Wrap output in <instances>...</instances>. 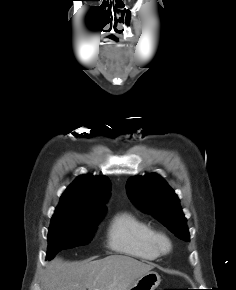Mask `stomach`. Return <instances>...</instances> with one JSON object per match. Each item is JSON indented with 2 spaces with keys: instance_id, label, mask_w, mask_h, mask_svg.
Wrapping results in <instances>:
<instances>
[{
  "instance_id": "obj_1",
  "label": "stomach",
  "mask_w": 236,
  "mask_h": 290,
  "mask_svg": "<svg viewBox=\"0 0 236 290\" xmlns=\"http://www.w3.org/2000/svg\"><path fill=\"white\" fill-rule=\"evenodd\" d=\"M160 282V275L155 271H149L137 278L127 290H155Z\"/></svg>"
}]
</instances>
